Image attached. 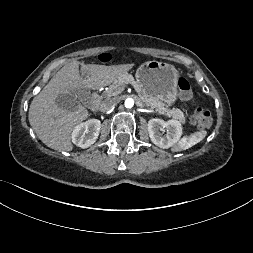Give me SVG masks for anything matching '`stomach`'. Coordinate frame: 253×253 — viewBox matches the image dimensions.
<instances>
[{
  "label": "stomach",
  "instance_id": "0dacf381",
  "mask_svg": "<svg viewBox=\"0 0 253 253\" xmlns=\"http://www.w3.org/2000/svg\"><path fill=\"white\" fill-rule=\"evenodd\" d=\"M136 83L142 93L172 105L178 98V71L168 63L148 61L136 71Z\"/></svg>",
  "mask_w": 253,
  "mask_h": 253
}]
</instances>
